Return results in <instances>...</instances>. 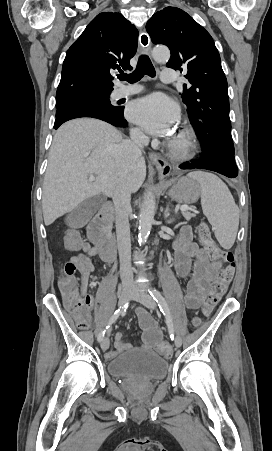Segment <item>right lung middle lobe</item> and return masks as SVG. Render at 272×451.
<instances>
[{
	"mask_svg": "<svg viewBox=\"0 0 272 451\" xmlns=\"http://www.w3.org/2000/svg\"><path fill=\"white\" fill-rule=\"evenodd\" d=\"M110 94H93L79 97L56 99V118L68 112L87 109L99 113L112 115L121 111V107H115L110 103Z\"/></svg>",
	"mask_w": 272,
	"mask_h": 451,
	"instance_id": "obj_1",
	"label": "right lung middle lobe"
}]
</instances>
